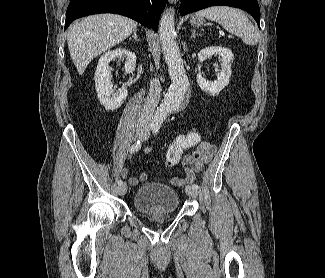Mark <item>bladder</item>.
I'll return each mask as SVG.
<instances>
[{
    "instance_id": "bladder-1",
    "label": "bladder",
    "mask_w": 325,
    "mask_h": 278,
    "mask_svg": "<svg viewBox=\"0 0 325 278\" xmlns=\"http://www.w3.org/2000/svg\"><path fill=\"white\" fill-rule=\"evenodd\" d=\"M133 205L137 211L145 214L174 213L179 209V195L168 184L144 183L137 188Z\"/></svg>"
}]
</instances>
